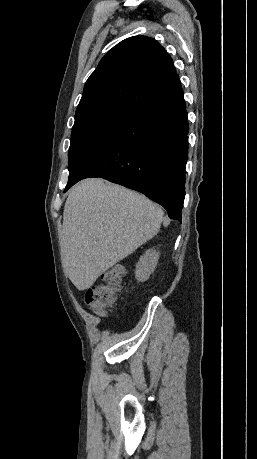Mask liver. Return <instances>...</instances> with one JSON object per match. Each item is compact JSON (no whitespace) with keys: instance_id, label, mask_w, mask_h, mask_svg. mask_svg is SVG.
<instances>
[{"instance_id":"1","label":"liver","mask_w":257,"mask_h":459,"mask_svg":"<svg viewBox=\"0 0 257 459\" xmlns=\"http://www.w3.org/2000/svg\"><path fill=\"white\" fill-rule=\"evenodd\" d=\"M163 211L145 196L101 179H86L69 192L60 236L62 264L83 291L152 239Z\"/></svg>"}]
</instances>
